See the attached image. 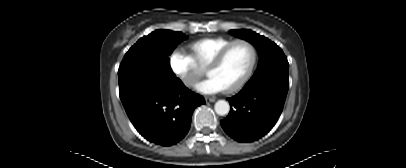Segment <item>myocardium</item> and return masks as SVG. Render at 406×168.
I'll return each instance as SVG.
<instances>
[{"label":"myocardium","mask_w":406,"mask_h":168,"mask_svg":"<svg viewBox=\"0 0 406 168\" xmlns=\"http://www.w3.org/2000/svg\"><path fill=\"white\" fill-rule=\"evenodd\" d=\"M238 43H245L247 44L252 51V58H251V62L246 70V72L244 73V75L242 76V78L235 83L234 85L225 88L224 91L226 93H233L236 92L238 90H240L250 79L255 65L257 63V58H258V50L256 48V46L247 39H235L232 42H230L229 44H227L226 46H224L222 49H220L215 55L214 57L209 61V63L206 65L205 68V72L209 75L210 70L216 68L217 66H219L221 64V62L223 61L224 57L226 56V54L228 53V51L236 44Z\"/></svg>","instance_id":"myocardium-1"}]
</instances>
